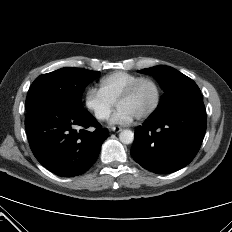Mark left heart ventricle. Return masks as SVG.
Masks as SVG:
<instances>
[{
    "label": "left heart ventricle",
    "instance_id": "b2bd125f",
    "mask_svg": "<svg viewBox=\"0 0 232 232\" xmlns=\"http://www.w3.org/2000/svg\"><path fill=\"white\" fill-rule=\"evenodd\" d=\"M154 100L155 89L153 85L149 82H144L130 99L120 103L118 107L128 110L135 117H139L151 108Z\"/></svg>",
    "mask_w": 232,
    "mask_h": 232
}]
</instances>
